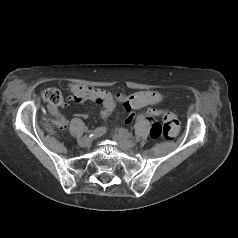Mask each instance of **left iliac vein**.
Instances as JSON below:
<instances>
[{
    "instance_id": "obj_1",
    "label": "left iliac vein",
    "mask_w": 238,
    "mask_h": 238,
    "mask_svg": "<svg viewBox=\"0 0 238 238\" xmlns=\"http://www.w3.org/2000/svg\"><path fill=\"white\" fill-rule=\"evenodd\" d=\"M113 139L120 145L123 150L130 149L135 146V142L129 139H126L121 134L113 135Z\"/></svg>"
}]
</instances>
